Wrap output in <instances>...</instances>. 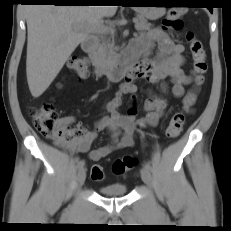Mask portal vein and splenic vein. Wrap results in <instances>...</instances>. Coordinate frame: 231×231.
I'll use <instances>...</instances> for the list:
<instances>
[{"mask_svg":"<svg viewBox=\"0 0 231 231\" xmlns=\"http://www.w3.org/2000/svg\"><path fill=\"white\" fill-rule=\"evenodd\" d=\"M133 22L136 24L138 21L137 19H134ZM97 31L98 32H113V29L110 27L101 26V27H98Z\"/></svg>","mask_w":231,"mask_h":231,"instance_id":"1","label":"portal vein and splenic vein"}]
</instances>
